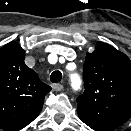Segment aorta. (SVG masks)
Here are the masks:
<instances>
[{
    "mask_svg": "<svg viewBox=\"0 0 131 131\" xmlns=\"http://www.w3.org/2000/svg\"><path fill=\"white\" fill-rule=\"evenodd\" d=\"M71 86L74 88V89H79L80 86H81V79L78 75L76 74H73L71 76Z\"/></svg>",
    "mask_w": 131,
    "mask_h": 131,
    "instance_id": "1",
    "label": "aorta"
}]
</instances>
